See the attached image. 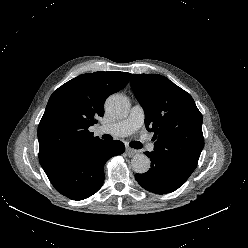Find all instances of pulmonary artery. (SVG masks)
<instances>
[{
    "instance_id": "obj_1",
    "label": "pulmonary artery",
    "mask_w": 248,
    "mask_h": 248,
    "mask_svg": "<svg viewBox=\"0 0 248 248\" xmlns=\"http://www.w3.org/2000/svg\"><path fill=\"white\" fill-rule=\"evenodd\" d=\"M144 119L145 113L142 106L135 104L125 119L115 123L101 125L97 130L100 133L124 137L138 130L143 125Z\"/></svg>"
}]
</instances>
